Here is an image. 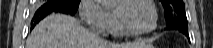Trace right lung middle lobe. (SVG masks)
Listing matches in <instances>:
<instances>
[{"instance_id":"1","label":"right lung middle lobe","mask_w":213,"mask_h":48,"mask_svg":"<svg viewBox=\"0 0 213 48\" xmlns=\"http://www.w3.org/2000/svg\"><path fill=\"white\" fill-rule=\"evenodd\" d=\"M45 2H57L62 4L64 7H66L68 10H70L72 13H75L80 0H45Z\"/></svg>"}]
</instances>
